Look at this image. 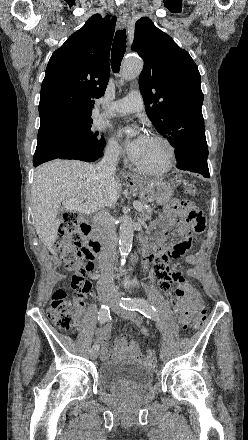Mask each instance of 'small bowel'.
Instances as JSON below:
<instances>
[{"mask_svg": "<svg viewBox=\"0 0 248 440\" xmlns=\"http://www.w3.org/2000/svg\"><path fill=\"white\" fill-rule=\"evenodd\" d=\"M192 208V204L188 202L175 203L166 210L164 218H160L152 227L150 243L156 248L155 257L152 259L151 269L156 274L159 281L158 285L167 291L172 281L178 283L176 288V301L174 302V313L178 320L180 331H187L191 314L195 308H198L197 293L193 287L185 281L182 273L171 272L169 270L170 258H179L184 255L191 247L192 235L194 232L190 229L186 219L187 210ZM179 233L183 239L175 244L170 251H166L162 246L164 236L173 233ZM186 261L189 264H196L198 257L196 255H188ZM145 264H150V259H145ZM190 275L195 274V269L189 270ZM152 292H156L158 287L152 285ZM168 296V295H167ZM83 306L77 309V314L81 315ZM139 325V321L135 320ZM110 326L105 325L98 329L97 339L101 344V358L103 360H112L119 357H127L130 359H140V350L135 339L130 335H122L116 341L113 347L109 344ZM145 362V359L142 360ZM146 363V362H145Z\"/></svg>", "mask_w": 248, "mask_h": 440, "instance_id": "small-bowel-1", "label": "small bowel"}]
</instances>
